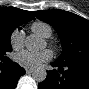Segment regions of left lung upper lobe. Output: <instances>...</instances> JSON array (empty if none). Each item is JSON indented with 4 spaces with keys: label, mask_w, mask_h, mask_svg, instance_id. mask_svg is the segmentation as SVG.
Returning <instances> with one entry per match:
<instances>
[{
    "label": "left lung upper lobe",
    "mask_w": 89,
    "mask_h": 89,
    "mask_svg": "<svg viewBox=\"0 0 89 89\" xmlns=\"http://www.w3.org/2000/svg\"><path fill=\"white\" fill-rule=\"evenodd\" d=\"M34 15L53 26L59 35L63 51L56 62L62 65L89 62L88 20L63 10L34 11Z\"/></svg>",
    "instance_id": "1"
}]
</instances>
